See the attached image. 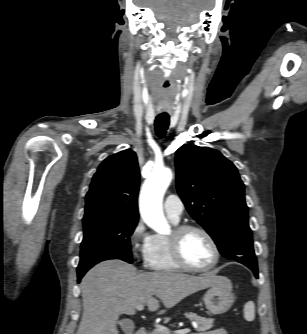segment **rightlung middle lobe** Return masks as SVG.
Returning <instances> with one entry per match:
<instances>
[{
    "instance_id": "obj_1",
    "label": "right lung middle lobe",
    "mask_w": 307,
    "mask_h": 334,
    "mask_svg": "<svg viewBox=\"0 0 307 334\" xmlns=\"http://www.w3.org/2000/svg\"><path fill=\"white\" fill-rule=\"evenodd\" d=\"M137 222L105 217L83 219L84 238L78 274H85L95 264L108 259L132 263L130 236Z\"/></svg>"
}]
</instances>
